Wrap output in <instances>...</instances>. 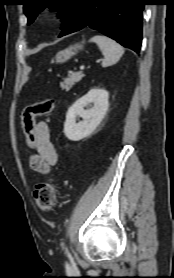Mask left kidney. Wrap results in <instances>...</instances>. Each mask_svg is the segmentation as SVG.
<instances>
[{
  "mask_svg": "<svg viewBox=\"0 0 174 278\" xmlns=\"http://www.w3.org/2000/svg\"><path fill=\"white\" fill-rule=\"evenodd\" d=\"M109 93L104 89H91L86 95L78 99L66 114L64 134L69 140L79 141L90 136L102 122L108 110ZM93 104L88 109V105ZM83 120L76 122V118Z\"/></svg>",
  "mask_w": 174,
  "mask_h": 278,
  "instance_id": "5707ae66",
  "label": "left kidney"
}]
</instances>
